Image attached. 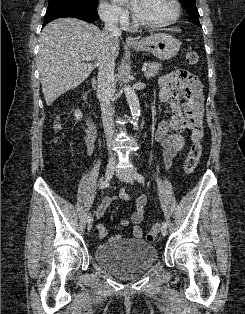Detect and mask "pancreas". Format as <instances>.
Returning <instances> with one entry per match:
<instances>
[{
	"label": "pancreas",
	"mask_w": 245,
	"mask_h": 314,
	"mask_svg": "<svg viewBox=\"0 0 245 314\" xmlns=\"http://www.w3.org/2000/svg\"><path fill=\"white\" fill-rule=\"evenodd\" d=\"M145 66L147 67V70L144 72V75L147 79L156 77L161 69V64L157 62H149L146 63Z\"/></svg>",
	"instance_id": "1"
}]
</instances>
